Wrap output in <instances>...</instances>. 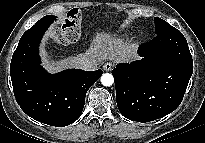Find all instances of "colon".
I'll use <instances>...</instances> for the list:
<instances>
[{
    "instance_id": "colon-1",
    "label": "colon",
    "mask_w": 205,
    "mask_h": 143,
    "mask_svg": "<svg viewBox=\"0 0 205 143\" xmlns=\"http://www.w3.org/2000/svg\"><path fill=\"white\" fill-rule=\"evenodd\" d=\"M81 14L77 9L68 12L65 21L54 30V39L61 44L77 41L80 33Z\"/></svg>"
}]
</instances>
